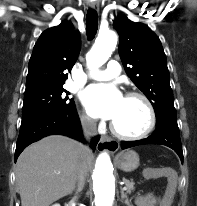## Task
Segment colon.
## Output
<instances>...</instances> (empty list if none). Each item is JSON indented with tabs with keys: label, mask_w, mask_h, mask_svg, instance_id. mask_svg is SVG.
Listing matches in <instances>:
<instances>
[{
	"label": "colon",
	"mask_w": 197,
	"mask_h": 206,
	"mask_svg": "<svg viewBox=\"0 0 197 206\" xmlns=\"http://www.w3.org/2000/svg\"><path fill=\"white\" fill-rule=\"evenodd\" d=\"M174 190H175L174 184H170L163 198L162 206H171V201L173 199Z\"/></svg>",
	"instance_id": "colon-1"
}]
</instances>
